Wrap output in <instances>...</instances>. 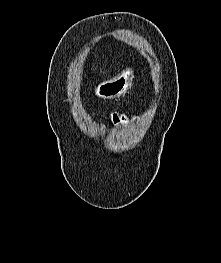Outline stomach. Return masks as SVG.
<instances>
[{"label": "stomach", "mask_w": 221, "mask_h": 263, "mask_svg": "<svg viewBox=\"0 0 221 263\" xmlns=\"http://www.w3.org/2000/svg\"><path fill=\"white\" fill-rule=\"evenodd\" d=\"M133 78L134 73L132 69L127 68L116 77L99 83L94 88V93L102 99L121 97L131 88Z\"/></svg>", "instance_id": "obj_1"}]
</instances>
